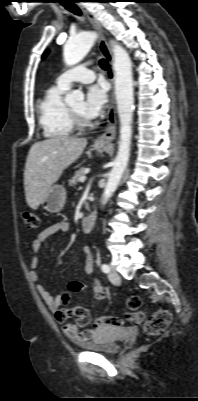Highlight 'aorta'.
<instances>
[{
	"instance_id": "762f6f07",
	"label": "aorta",
	"mask_w": 198,
	"mask_h": 401,
	"mask_svg": "<svg viewBox=\"0 0 198 401\" xmlns=\"http://www.w3.org/2000/svg\"><path fill=\"white\" fill-rule=\"evenodd\" d=\"M96 37L97 35L94 32H83L70 38L64 45L63 56L65 63L67 65H75L80 62L90 51ZM111 44L114 55L115 96L120 119V141L117 156L113 168L108 175L102 195L103 205L116 191L129 161L134 109L131 59L127 51L120 44L114 41ZM83 99V92L74 90L65 96V103L71 105Z\"/></svg>"
}]
</instances>
